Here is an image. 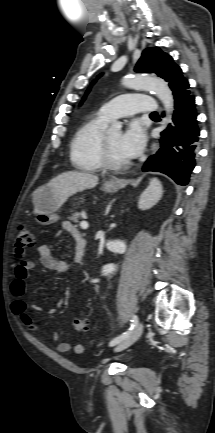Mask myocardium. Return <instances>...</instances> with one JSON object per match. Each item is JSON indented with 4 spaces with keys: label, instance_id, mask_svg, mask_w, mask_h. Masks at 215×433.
<instances>
[{
    "label": "myocardium",
    "instance_id": "1",
    "mask_svg": "<svg viewBox=\"0 0 215 433\" xmlns=\"http://www.w3.org/2000/svg\"><path fill=\"white\" fill-rule=\"evenodd\" d=\"M100 159L103 167L111 169V170H121L127 168L131 162L129 160L126 161H117L113 158L111 151L108 146L107 141V133L102 135L100 141Z\"/></svg>",
    "mask_w": 215,
    "mask_h": 433
}]
</instances>
